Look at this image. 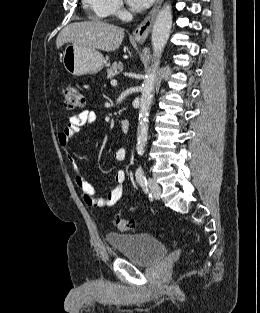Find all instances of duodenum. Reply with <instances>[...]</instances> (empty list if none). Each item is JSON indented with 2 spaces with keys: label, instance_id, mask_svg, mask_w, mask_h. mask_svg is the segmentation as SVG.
<instances>
[{
  "label": "duodenum",
  "instance_id": "duodenum-1",
  "mask_svg": "<svg viewBox=\"0 0 260 313\" xmlns=\"http://www.w3.org/2000/svg\"><path fill=\"white\" fill-rule=\"evenodd\" d=\"M121 127L124 134H128L130 132V123L127 119H123L121 121Z\"/></svg>",
  "mask_w": 260,
  "mask_h": 313
}]
</instances>
